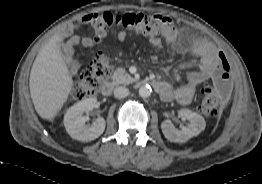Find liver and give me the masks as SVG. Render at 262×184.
<instances>
[{
  "label": "liver",
  "mask_w": 262,
  "mask_h": 184,
  "mask_svg": "<svg viewBox=\"0 0 262 184\" xmlns=\"http://www.w3.org/2000/svg\"><path fill=\"white\" fill-rule=\"evenodd\" d=\"M60 41L62 37L56 34L42 47L30 73V94L35 110L46 120L54 119L67 101L73 86L58 46Z\"/></svg>",
  "instance_id": "liver-1"
}]
</instances>
